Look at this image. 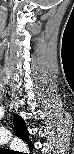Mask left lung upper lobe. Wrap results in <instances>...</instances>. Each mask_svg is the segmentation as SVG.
<instances>
[{
	"instance_id": "1",
	"label": "left lung upper lobe",
	"mask_w": 74,
	"mask_h": 154,
	"mask_svg": "<svg viewBox=\"0 0 74 154\" xmlns=\"http://www.w3.org/2000/svg\"><path fill=\"white\" fill-rule=\"evenodd\" d=\"M23 129H24V123L22 119L18 115H15L14 116V131L19 137H21L22 139H26L25 137L26 131H24Z\"/></svg>"
}]
</instances>
